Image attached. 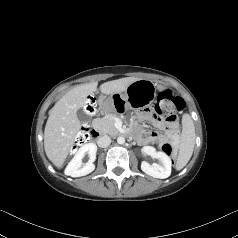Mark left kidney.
<instances>
[{"instance_id": "left-kidney-1", "label": "left kidney", "mask_w": 238, "mask_h": 238, "mask_svg": "<svg viewBox=\"0 0 238 238\" xmlns=\"http://www.w3.org/2000/svg\"><path fill=\"white\" fill-rule=\"evenodd\" d=\"M141 151L144 155H150L159 161V163H153L152 165L143 161L141 163V169L143 172L160 179H165L170 176L172 162L167 154L161 151H156V149L152 146H145Z\"/></svg>"}]
</instances>
